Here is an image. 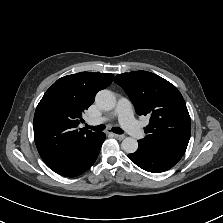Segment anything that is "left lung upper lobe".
Segmentation results:
<instances>
[{"label": "left lung upper lobe", "mask_w": 223, "mask_h": 223, "mask_svg": "<svg viewBox=\"0 0 223 223\" xmlns=\"http://www.w3.org/2000/svg\"><path fill=\"white\" fill-rule=\"evenodd\" d=\"M114 81L128 94L138 115H150L146 136L138 142L182 157L190 138L191 120L179 90L147 71L118 74Z\"/></svg>", "instance_id": "left-lung-upper-lobe-1"}]
</instances>
